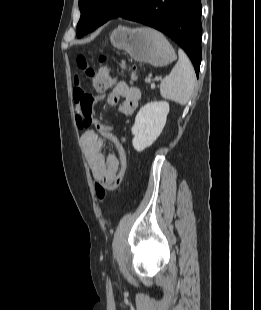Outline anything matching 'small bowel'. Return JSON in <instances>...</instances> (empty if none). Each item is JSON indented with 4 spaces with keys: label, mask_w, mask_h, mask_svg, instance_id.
I'll return each instance as SVG.
<instances>
[{
    "label": "small bowel",
    "mask_w": 261,
    "mask_h": 310,
    "mask_svg": "<svg viewBox=\"0 0 261 310\" xmlns=\"http://www.w3.org/2000/svg\"><path fill=\"white\" fill-rule=\"evenodd\" d=\"M73 99L78 112V125L80 128H87L81 141L92 174L97 181L109 183L116 177L120 162L115 154L105 157L102 152L103 144L105 140L115 144L121 143L123 139L112 133L111 126L95 118L94 108L100 102L105 101L110 106L118 105L123 114L130 115L140 104L141 91L126 81H116L110 92L96 96L89 95L76 86Z\"/></svg>",
    "instance_id": "c3829d8e"
}]
</instances>
